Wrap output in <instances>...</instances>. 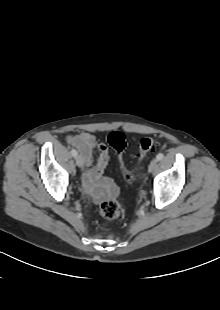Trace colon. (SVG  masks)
Returning a JSON list of instances; mask_svg holds the SVG:
<instances>
[{
    "mask_svg": "<svg viewBox=\"0 0 220 310\" xmlns=\"http://www.w3.org/2000/svg\"><path fill=\"white\" fill-rule=\"evenodd\" d=\"M108 142L111 147L115 150L119 166L125 179L128 182H134L137 179L135 172L130 171L126 168L123 161V151L126 147V138L121 132H112L108 136ZM158 146V142L152 137H143L139 141V157L144 158L147 154L154 151ZM117 194V189L112 192V195ZM122 213V205L116 198H111L102 202L100 206V214L102 217L113 220L118 218Z\"/></svg>",
    "mask_w": 220,
    "mask_h": 310,
    "instance_id": "colon-1",
    "label": "colon"
}]
</instances>
